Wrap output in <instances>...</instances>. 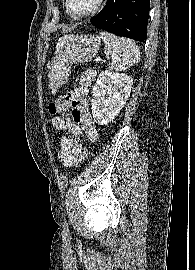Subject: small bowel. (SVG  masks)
<instances>
[{
  "mask_svg": "<svg viewBox=\"0 0 195 270\" xmlns=\"http://www.w3.org/2000/svg\"><path fill=\"white\" fill-rule=\"evenodd\" d=\"M95 78V73L88 70L80 78L79 86L74 89L70 106L60 112H71V116H53L51 124L59 132L68 131L70 136L60 138L57 156L65 167H71L78 161L82 149L81 139L86 136L93 141L97 138V130L91 114L87 109V96Z\"/></svg>",
  "mask_w": 195,
  "mask_h": 270,
  "instance_id": "small-bowel-1",
  "label": "small bowel"
}]
</instances>
